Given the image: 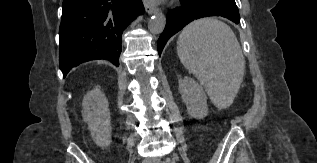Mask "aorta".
<instances>
[{
	"label": "aorta",
	"mask_w": 317,
	"mask_h": 163,
	"mask_svg": "<svg viewBox=\"0 0 317 163\" xmlns=\"http://www.w3.org/2000/svg\"><path fill=\"white\" fill-rule=\"evenodd\" d=\"M166 25V18L162 13H156L152 16L148 23V29L153 34H160L163 32Z\"/></svg>",
	"instance_id": "aorta-1"
}]
</instances>
